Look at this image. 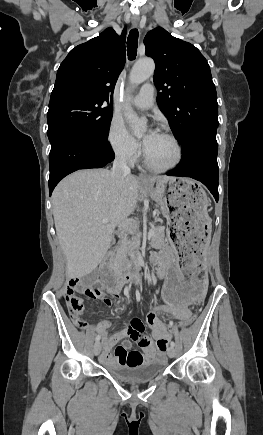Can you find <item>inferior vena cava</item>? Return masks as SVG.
I'll return each mask as SVG.
<instances>
[{
    "label": "inferior vena cava",
    "instance_id": "602c4592",
    "mask_svg": "<svg viewBox=\"0 0 263 435\" xmlns=\"http://www.w3.org/2000/svg\"><path fill=\"white\" fill-rule=\"evenodd\" d=\"M130 175V168L125 157H116L113 162L111 176L116 179L118 185H122L126 176Z\"/></svg>",
    "mask_w": 263,
    "mask_h": 435
}]
</instances>
